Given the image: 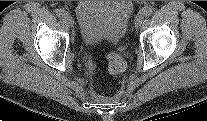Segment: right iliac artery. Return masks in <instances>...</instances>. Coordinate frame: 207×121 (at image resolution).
<instances>
[{"instance_id":"1","label":"right iliac artery","mask_w":207,"mask_h":121,"mask_svg":"<svg viewBox=\"0 0 207 121\" xmlns=\"http://www.w3.org/2000/svg\"><path fill=\"white\" fill-rule=\"evenodd\" d=\"M55 13L59 18H63L66 14V12L63 9H56Z\"/></svg>"}]
</instances>
